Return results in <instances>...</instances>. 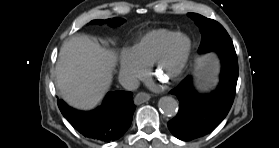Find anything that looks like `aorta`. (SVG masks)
<instances>
[{"label": "aorta", "mask_w": 279, "mask_h": 148, "mask_svg": "<svg viewBox=\"0 0 279 148\" xmlns=\"http://www.w3.org/2000/svg\"><path fill=\"white\" fill-rule=\"evenodd\" d=\"M158 107L165 116L174 117L178 111V102L171 96H164L160 98Z\"/></svg>", "instance_id": "obj_1"}]
</instances>
